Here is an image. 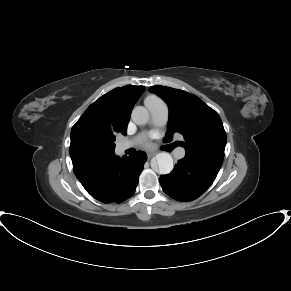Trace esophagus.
Instances as JSON below:
<instances>
[{"label":"esophagus","mask_w":291,"mask_h":291,"mask_svg":"<svg viewBox=\"0 0 291 291\" xmlns=\"http://www.w3.org/2000/svg\"><path fill=\"white\" fill-rule=\"evenodd\" d=\"M155 155H156V152H148L147 153V156H148L149 159L154 157Z\"/></svg>","instance_id":"esophagus-1"}]
</instances>
